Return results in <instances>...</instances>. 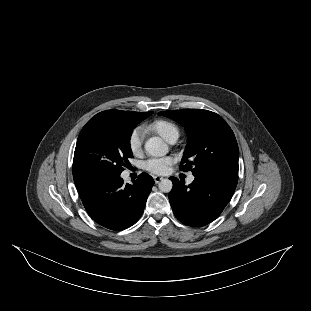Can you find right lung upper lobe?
I'll use <instances>...</instances> for the list:
<instances>
[{"label":"right lung upper lobe","mask_w":311,"mask_h":311,"mask_svg":"<svg viewBox=\"0 0 311 311\" xmlns=\"http://www.w3.org/2000/svg\"><path fill=\"white\" fill-rule=\"evenodd\" d=\"M109 111H112V112H120V113H139V112H131V111H120V110H109ZM75 183L78 182V181H74Z\"/></svg>","instance_id":"1"}]
</instances>
